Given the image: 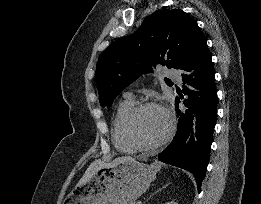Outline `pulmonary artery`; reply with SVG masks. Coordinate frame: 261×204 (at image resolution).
I'll return each instance as SVG.
<instances>
[{
    "label": "pulmonary artery",
    "mask_w": 261,
    "mask_h": 204,
    "mask_svg": "<svg viewBox=\"0 0 261 204\" xmlns=\"http://www.w3.org/2000/svg\"><path fill=\"white\" fill-rule=\"evenodd\" d=\"M167 76H168L169 78H171V79H174V80L178 81V82L181 81V76H180V74H179L176 70H174V69L168 70V71H167ZM125 96H126V98H128V99H132V95H131L130 93H127Z\"/></svg>",
    "instance_id": "pulmonary-artery-1"
}]
</instances>
